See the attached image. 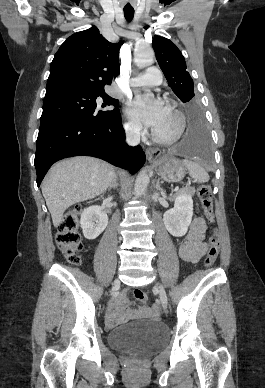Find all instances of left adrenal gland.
Wrapping results in <instances>:
<instances>
[{
    "label": "left adrenal gland",
    "mask_w": 265,
    "mask_h": 388,
    "mask_svg": "<svg viewBox=\"0 0 265 388\" xmlns=\"http://www.w3.org/2000/svg\"><path fill=\"white\" fill-rule=\"evenodd\" d=\"M156 188H158V190H160L159 180H157V182H156Z\"/></svg>",
    "instance_id": "a2214340"
}]
</instances>
